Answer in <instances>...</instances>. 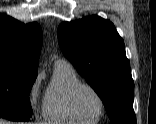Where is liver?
Returning <instances> with one entry per match:
<instances>
[{
	"label": "liver",
	"mask_w": 156,
	"mask_h": 124,
	"mask_svg": "<svg viewBox=\"0 0 156 124\" xmlns=\"http://www.w3.org/2000/svg\"><path fill=\"white\" fill-rule=\"evenodd\" d=\"M0 124H9V123H7L6 121L0 119Z\"/></svg>",
	"instance_id": "liver-1"
}]
</instances>
